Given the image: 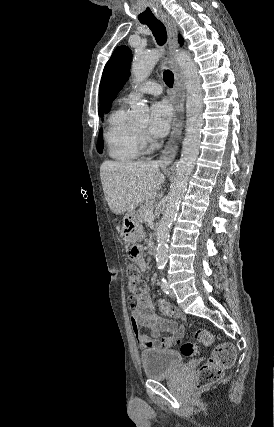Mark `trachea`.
Returning a JSON list of instances; mask_svg holds the SVG:
<instances>
[{
	"label": "trachea",
	"mask_w": 274,
	"mask_h": 427,
	"mask_svg": "<svg viewBox=\"0 0 274 427\" xmlns=\"http://www.w3.org/2000/svg\"><path fill=\"white\" fill-rule=\"evenodd\" d=\"M143 25H147L152 31L156 42L158 45H164L167 41V30L162 21L158 20L156 17H152L146 20L141 21ZM163 78L166 85L170 88L173 86L174 75L170 70H165L163 73Z\"/></svg>",
	"instance_id": "1"
}]
</instances>
